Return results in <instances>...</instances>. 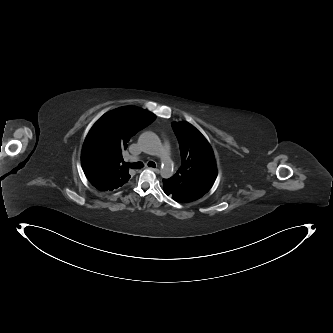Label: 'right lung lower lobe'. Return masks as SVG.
Masks as SVG:
<instances>
[{
    "label": "right lung lower lobe",
    "instance_id": "right-lung-lower-lobe-1",
    "mask_svg": "<svg viewBox=\"0 0 333 333\" xmlns=\"http://www.w3.org/2000/svg\"><path fill=\"white\" fill-rule=\"evenodd\" d=\"M82 167H83V170H84V173H85V175L87 176V178H88V180L91 182V184L94 186V187H96L97 189H99L97 186V180H96V178H95V176L94 175H92L93 174V172L94 171H91L90 170V167L87 165V163H85V162H83L82 163ZM99 190H101V189H99ZM103 191V190H102Z\"/></svg>",
    "mask_w": 333,
    "mask_h": 333
}]
</instances>
